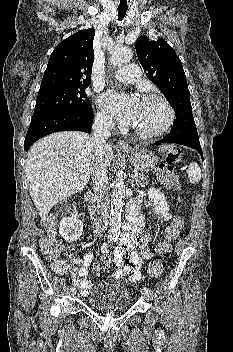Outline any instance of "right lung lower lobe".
<instances>
[{"mask_svg":"<svg viewBox=\"0 0 233 352\" xmlns=\"http://www.w3.org/2000/svg\"><path fill=\"white\" fill-rule=\"evenodd\" d=\"M93 122V111L53 112L33 116L25 137L24 150L38 139L58 131H83L89 133Z\"/></svg>","mask_w":233,"mask_h":352,"instance_id":"98d812e1","label":"right lung lower lobe"}]
</instances>
